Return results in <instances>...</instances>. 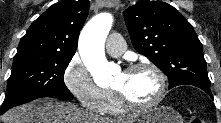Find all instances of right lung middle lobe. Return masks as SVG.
I'll list each match as a JSON object with an SVG mask.
<instances>
[{
    "label": "right lung middle lobe",
    "instance_id": "obj_1",
    "mask_svg": "<svg viewBox=\"0 0 221 123\" xmlns=\"http://www.w3.org/2000/svg\"><path fill=\"white\" fill-rule=\"evenodd\" d=\"M73 55L36 50L17 51L1 111L41 97L73 98L63 79Z\"/></svg>",
    "mask_w": 221,
    "mask_h": 123
}]
</instances>
